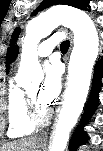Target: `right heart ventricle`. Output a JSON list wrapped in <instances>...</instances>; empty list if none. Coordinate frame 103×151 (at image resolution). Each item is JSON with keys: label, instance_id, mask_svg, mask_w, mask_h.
<instances>
[{"label": "right heart ventricle", "instance_id": "obj_1", "mask_svg": "<svg viewBox=\"0 0 103 151\" xmlns=\"http://www.w3.org/2000/svg\"><path fill=\"white\" fill-rule=\"evenodd\" d=\"M7 100L9 119L7 135L10 138H20L32 134L35 126L28 118L26 93L12 79L9 82Z\"/></svg>", "mask_w": 103, "mask_h": 151}]
</instances>
